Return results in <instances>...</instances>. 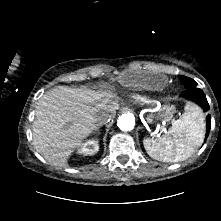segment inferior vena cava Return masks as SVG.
<instances>
[{"mask_svg": "<svg viewBox=\"0 0 221 221\" xmlns=\"http://www.w3.org/2000/svg\"><path fill=\"white\" fill-rule=\"evenodd\" d=\"M111 120V116L109 114L103 113L97 117V126H102Z\"/></svg>", "mask_w": 221, "mask_h": 221, "instance_id": "602c4592", "label": "inferior vena cava"}]
</instances>
